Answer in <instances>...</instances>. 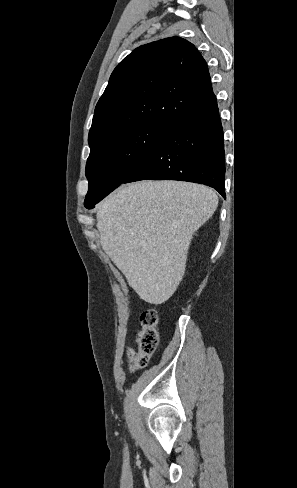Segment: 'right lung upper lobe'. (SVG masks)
<instances>
[{
	"mask_svg": "<svg viewBox=\"0 0 297 488\" xmlns=\"http://www.w3.org/2000/svg\"><path fill=\"white\" fill-rule=\"evenodd\" d=\"M216 100L206 61L193 44L165 38L136 48L114 69L89 131L93 146L130 126H172Z\"/></svg>",
	"mask_w": 297,
	"mask_h": 488,
	"instance_id": "1",
	"label": "right lung upper lobe"
}]
</instances>
